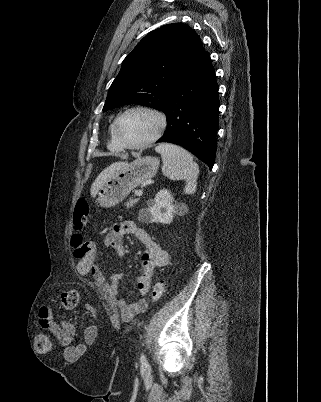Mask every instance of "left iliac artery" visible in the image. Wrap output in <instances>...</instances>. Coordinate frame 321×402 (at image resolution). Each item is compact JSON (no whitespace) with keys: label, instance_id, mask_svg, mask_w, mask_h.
Here are the masks:
<instances>
[{"label":"left iliac artery","instance_id":"left-iliac-artery-1","mask_svg":"<svg viewBox=\"0 0 321 402\" xmlns=\"http://www.w3.org/2000/svg\"><path fill=\"white\" fill-rule=\"evenodd\" d=\"M140 362H141V365H142V366L148 367V362H147V359H146V356H145L144 353L141 354Z\"/></svg>","mask_w":321,"mask_h":402}]
</instances>
